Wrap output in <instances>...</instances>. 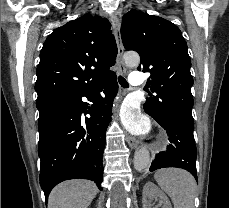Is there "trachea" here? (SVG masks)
I'll return each instance as SVG.
<instances>
[{
	"label": "trachea",
	"instance_id": "obj_1",
	"mask_svg": "<svg viewBox=\"0 0 229 208\" xmlns=\"http://www.w3.org/2000/svg\"><path fill=\"white\" fill-rule=\"evenodd\" d=\"M118 81L120 83V85L123 87V88H128L129 87V84L127 82V80L125 78H123V76H119L118 77Z\"/></svg>",
	"mask_w": 229,
	"mask_h": 208
}]
</instances>
